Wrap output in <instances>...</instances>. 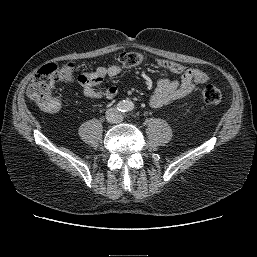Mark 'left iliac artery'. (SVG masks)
<instances>
[{
    "label": "left iliac artery",
    "mask_w": 257,
    "mask_h": 257,
    "mask_svg": "<svg viewBox=\"0 0 257 257\" xmlns=\"http://www.w3.org/2000/svg\"><path fill=\"white\" fill-rule=\"evenodd\" d=\"M134 109V104L132 102H127L125 111H132Z\"/></svg>",
    "instance_id": "1"
}]
</instances>
